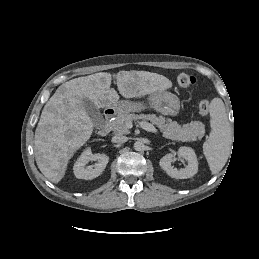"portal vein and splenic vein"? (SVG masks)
<instances>
[{"label":"portal vein and splenic vein","instance_id":"1","mask_svg":"<svg viewBox=\"0 0 259 259\" xmlns=\"http://www.w3.org/2000/svg\"><path fill=\"white\" fill-rule=\"evenodd\" d=\"M140 127L148 132H152V133H158L157 129L150 123L148 122H144V121H141L139 123Z\"/></svg>","mask_w":259,"mask_h":259}]
</instances>
